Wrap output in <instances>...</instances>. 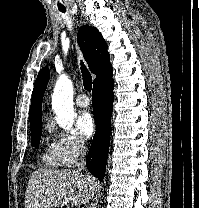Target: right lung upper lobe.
<instances>
[{"label": "right lung upper lobe", "instance_id": "right-lung-upper-lobe-1", "mask_svg": "<svg viewBox=\"0 0 199 208\" xmlns=\"http://www.w3.org/2000/svg\"><path fill=\"white\" fill-rule=\"evenodd\" d=\"M78 42L91 72L96 74L94 85L112 79L113 68L109 62L108 46L101 33L95 27L82 26L78 30ZM49 76V69L45 67L36 78L29 111L31 130L42 126V98Z\"/></svg>", "mask_w": 199, "mask_h": 208}]
</instances>
